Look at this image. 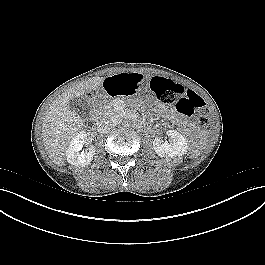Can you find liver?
Instances as JSON below:
<instances>
[{
    "label": "liver",
    "mask_w": 265,
    "mask_h": 265,
    "mask_svg": "<svg viewBox=\"0 0 265 265\" xmlns=\"http://www.w3.org/2000/svg\"><path fill=\"white\" fill-rule=\"evenodd\" d=\"M104 80L103 77H95L69 88L47 111L42 125V137L47 154L56 165H64L66 150L83 126L79 114L70 110V100L99 89Z\"/></svg>",
    "instance_id": "6515ba94"
}]
</instances>
